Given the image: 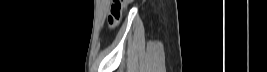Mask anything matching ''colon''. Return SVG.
Returning <instances> with one entry per match:
<instances>
[{
	"mask_svg": "<svg viewBox=\"0 0 267 72\" xmlns=\"http://www.w3.org/2000/svg\"><path fill=\"white\" fill-rule=\"evenodd\" d=\"M131 2V0H113L112 8L109 13V24L115 26L122 14L124 13L126 6Z\"/></svg>",
	"mask_w": 267,
	"mask_h": 72,
	"instance_id": "1",
	"label": "colon"
}]
</instances>
